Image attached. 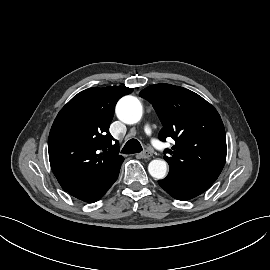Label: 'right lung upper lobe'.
<instances>
[{
    "label": "right lung upper lobe",
    "mask_w": 270,
    "mask_h": 270,
    "mask_svg": "<svg viewBox=\"0 0 270 270\" xmlns=\"http://www.w3.org/2000/svg\"><path fill=\"white\" fill-rule=\"evenodd\" d=\"M133 91L93 87L75 95L58 113L48 138L51 169L65 191L104 179L121 166L118 142L108 132L116 102Z\"/></svg>",
    "instance_id": "right-lung-upper-lobe-1"
}]
</instances>
